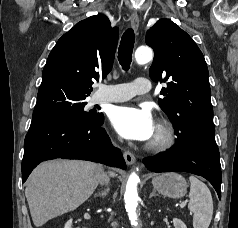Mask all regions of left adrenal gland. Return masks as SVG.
<instances>
[{
    "label": "left adrenal gland",
    "instance_id": "1",
    "mask_svg": "<svg viewBox=\"0 0 238 228\" xmlns=\"http://www.w3.org/2000/svg\"><path fill=\"white\" fill-rule=\"evenodd\" d=\"M153 196H157V194H156V191H155V190H153V191L150 193V195H149V198H152Z\"/></svg>",
    "mask_w": 238,
    "mask_h": 228
}]
</instances>
